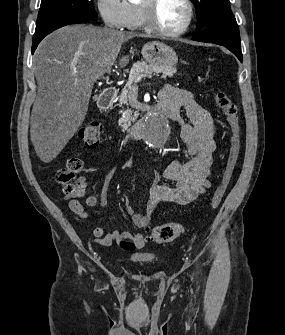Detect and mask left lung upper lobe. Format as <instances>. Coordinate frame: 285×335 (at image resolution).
<instances>
[{
    "label": "left lung upper lobe",
    "instance_id": "left-lung-upper-lobe-1",
    "mask_svg": "<svg viewBox=\"0 0 285 335\" xmlns=\"http://www.w3.org/2000/svg\"><path fill=\"white\" fill-rule=\"evenodd\" d=\"M196 7L197 21L206 27L216 22L235 21L229 0H191Z\"/></svg>",
    "mask_w": 285,
    "mask_h": 335
}]
</instances>
